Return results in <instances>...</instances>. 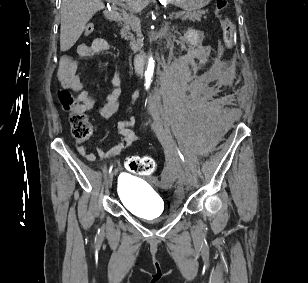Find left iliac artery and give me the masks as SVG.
<instances>
[{"instance_id": "1", "label": "left iliac artery", "mask_w": 308, "mask_h": 283, "mask_svg": "<svg viewBox=\"0 0 308 283\" xmlns=\"http://www.w3.org/2000/svg\"><path fill=\"white\" fill-rule=\"evenodd\" d=\"M178 153H179L181 160L185 163L184 156L182 155V153L179 150H178Z\"/></svg>"}]
</instances>
